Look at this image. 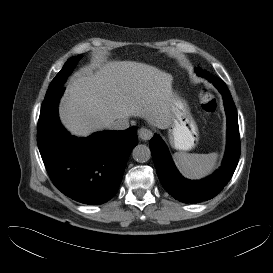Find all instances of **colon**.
Segmentation results:
<instances>
[{
    "label": "colon",
    "instance_id": "obj_1",
    "mask_svg": "<svg viewBox=\"0 0 273 273\" xmlns=\"http://www.w3.org/2000/svg\"><path fill=\"white\" fill-rule=\"evenodd\" d=\"M200 103L202 109L208 114H215L218 110V102L216 97L207 90H202L200 93Z\"/></svg>",
    "mask_w": 273,
    "mask_h": 273
}]
</instances>
